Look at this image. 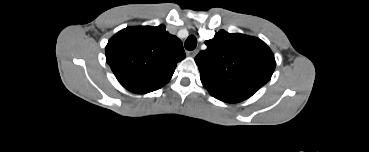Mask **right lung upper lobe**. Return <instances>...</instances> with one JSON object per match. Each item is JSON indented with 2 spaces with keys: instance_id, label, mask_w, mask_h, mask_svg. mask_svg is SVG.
I'll return each mask as SVG.
<instances>
[{
  "instance_id": "obj_1",
  "label": "right lung upper lobe",
  "mask_w": 369,
  "mask_h": 152,
  "mask_svg": "<svg viewBox=\"0 0 369 152\" xmlns=\"http://www.w3.org/2000/svg\"><path fill=\"white\" fill-rule=\"evenodd\" d=\"M105 52L120 84L139 94L164 86L186 57L180 39L165 31L164 25L127 27L108 41Z\"/></svg>"
}]
</instances>
